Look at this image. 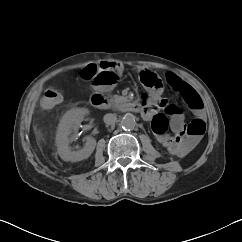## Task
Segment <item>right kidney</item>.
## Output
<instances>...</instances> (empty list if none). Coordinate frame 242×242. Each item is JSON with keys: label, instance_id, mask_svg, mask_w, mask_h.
I'll return each instance as SVG.
<instances>
[{"label": "right kidney", "instance_id": "obj_1", "mask_svg": "<svg viewBox=\"0 0 242 242\" xmlns=\"http://www.w3.org/2000/svg\"><path fill=\"white\" fill-rule=\"evenodd\" d=\"M89 113L87 108H74L68 110L61 118L56 134L57 152L64 161L77 162L87 159L94 151L96 140L93 137H85V145L82 149L73 151L69 146L75 140L79 125L84 116ZM74 133L73 135H71Z\"/></svg>", "mask_w": 242, "mask_h": 242}]
</instances>
